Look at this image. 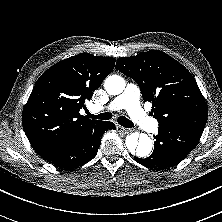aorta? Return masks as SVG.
I'll return each instance as SVG.
<instances>
[{
  "instance_id": "1",
  "label": "aorta",
  "mask_w": 222,
  "mask_h": 222,
  "mask_svg": "<svg viewBox=\"0 0 222 222\" xmlns=\"http://www.w3.org/2000/svg\"><path fill=\"white\" fill-rule=\"evenodd\" d=\"M104 87L108 94L119 95L125 88V80L118 75H112L105 79ZM125 144L132 155L140 158L147 157L153 147L151 138L144 133H132L128 135Z\"/></svg>"
}]
</instances>
